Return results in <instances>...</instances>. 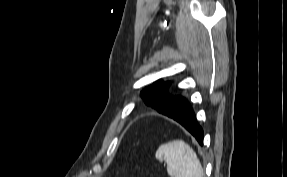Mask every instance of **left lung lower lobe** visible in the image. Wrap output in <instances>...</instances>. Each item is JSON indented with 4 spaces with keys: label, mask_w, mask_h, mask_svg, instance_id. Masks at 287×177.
<instances>
[{
    "label": "left lung lower lobe",
    "mask_w": 287,
    "mask_h": 177,
    "mask_svg": "<svg viewBox=\"0 0 287 177\" xmlns=\"http://www.w3.org/2000/svg\"><path fill=\"white\" fill-rule=\"evenodd\" d=\"M173 102L176 103V108L173 113L167 116L184 126L196 138L198 143L203 145V130L198 125L190 104L182 96L175 97Z\"/></svg>",
    "instance_id": "0a47b994"
}]
</instances>
